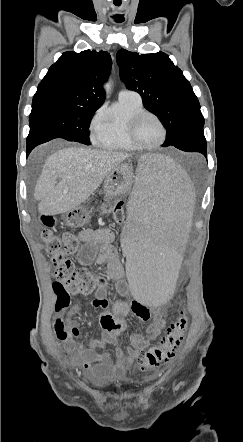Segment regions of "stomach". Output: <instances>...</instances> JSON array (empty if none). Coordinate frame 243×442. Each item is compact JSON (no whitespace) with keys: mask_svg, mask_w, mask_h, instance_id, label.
Segmentation results:
<instances>
[{"mask_svg":"<svg viewBox=\"0 0 243 442\" xmlns=\"http://www.w3.org/2000/svg\"><path fill=\"white\" fill-rule=\"evenodd\" d=\"M133 169L127 163L115 167L104 181V193L107 197L123 196L129 193L133 183ZM91 218L90 211L86 207L77 206L64 215L65 223L77 228L85 225Z\"/></svg>","mask_w":243,"mask_h":442,"instance_id":"obj_1","label":"stomach"}]
</instances>
